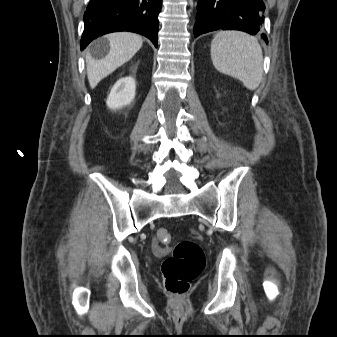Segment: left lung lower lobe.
Listing matches in <instances>:
<instances>
[{
	"instance_id": "1",
	"label": "left lung lower lobe",
	"mask_w": 337,
	"mask_h": 337,
	"mask_svg": "<svg viewBox=\"0 0 337 337\" xmlns=\"http://www.w3.org/2000/svg\"><path fill=\"white\" fill-rule=\"evenodd\" d=\"M195 37L210 31L240 30L255 35L264 22L262 0H199ZM266 43L267 37L261 34Z\"/></svg>"
}]
</instances>
